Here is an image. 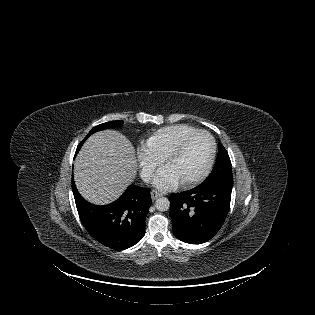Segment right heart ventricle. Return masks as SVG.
Instances as JSON below:
<instances>
[{
	"label": "right heart ventricle",
	"mask_w": 315,
	"mask_h": 315,
	"mask_svg": "<svg viewBox=\"0 0 315 315\" xmlns=\"http://www.w3.org/2000/svg\"><path fill=\"white\" fill-rule=\"evenodd\" d=\"M196 130L195 127L186 124L165 126L154 131L146 140V145L162 161L180 139Z\"/></svg>",
	"instance_id": "right-heart-ventricle-1"
}]
</instances>
